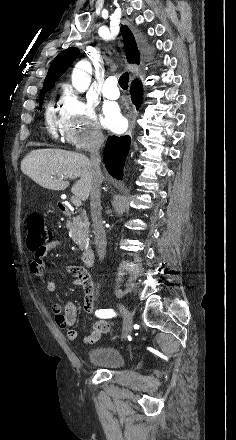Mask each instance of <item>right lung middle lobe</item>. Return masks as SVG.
I'll return each mask as SVG.
<instances>
[{
  "label": "right lung middle lobe",
  "mask_w": 236,
  "mask_h": 440,
  "mask_svg": "<svg viewBox=\"0 0 236 440\" xmlns=\"http://www.w3.org/2000/svg\"><path fill=\"white\" fill-rule=\"evenodd\" d=\"M44 95H45V94H43L42 96H40V100H39V108H41V106H42V99L44 98Z\"/></svg>",
  "instance_id": "obj_1"
}]
</instances>
